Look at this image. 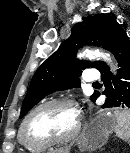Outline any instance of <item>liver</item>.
I'll list each match as a JSON object with an SVG mask.
<instances>
[{
	"label": "liver",
	"instance_id": "obj_1",
	"mask_svg": "<svg viewBox=\"0 0 130 153\" xmlns=\"http://www.w3.org/2000/svg\"><path fill=\"white\" fill-rule=\"evenodd\" d=\"M56 153H67L65 150H57Z\"/></svg>",
	"mask_w": 130,
	"mask_h": 153
}]
</instances>
